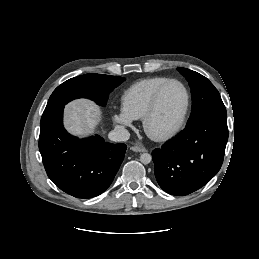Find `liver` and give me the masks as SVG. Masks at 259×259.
<instances>
[{
  "mask_svg": "<svg viewBox=\"0 0 259 259\" xmlns=\"http://www.w3.org/2000/svg\"><path fill=\"white\" fill-rule=\"evenodd\" d=\"M64 125L68 132L80 137L92 134L100 122V108L86 99L65 106Z\"/></svg>",
  "mask_w": 259,
  "mask_h": 259,
  "instance_id": "liver-1",
  "label": "liver"
}]
</instances>
